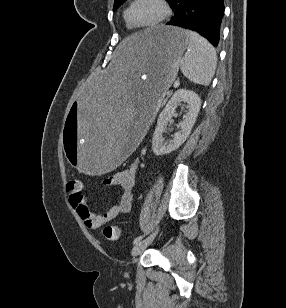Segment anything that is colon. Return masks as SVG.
<instances>
[{
  "label": "colon",
  "instance_id": "obj_1",
  "mask_svg": "<svg viewBox=\"0 0 286 308\" xmlns=\"http://www.w3.org/2000/svg\"><path fill=\"white\" fill-rule=\"evenodd\" d=\"M82 182L77 179L70 180L67 184L68 191H80ZM103 236L107 240H117L120 237V228L117 226L108 225L102 230Z\"/></svg>",
  "mask_w": 286,
  "mask_h": 308
}]
</instances>
